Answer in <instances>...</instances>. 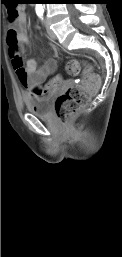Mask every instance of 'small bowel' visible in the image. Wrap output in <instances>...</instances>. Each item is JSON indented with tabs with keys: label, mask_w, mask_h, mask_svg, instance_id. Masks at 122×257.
Wrapping results in <instances>:
<instances>
[{
	"label": "small bowel",
	"mask_w": 122,
	"mask_h": 257,
	"mask_svg": "<svg viewBox=\"0 0 122 257\" xmlns=\"http://www.w3.org/2000/svg\"><path fill=\"white\" fill-rule=\"evenodd\" d=\"M6 42L10 53L8 59L11 60V64H13L14 73L17 74L19 82L28 90L47 89V87H44V82H48L46 81L47 78L55 72L57 65L53 60H47L41 66L33 59L26 62L28 58L27 55H24V52H20V47L29 44L27 21L24 11H21L18 18L10 23ZM31 83H42L43 87L31 88ZM53 91L54 90H49V93ZM29 97H31L30 93L26 98Z\"/></svg>",
	"instance_id": "c3829d8e"
}]
</instances>
